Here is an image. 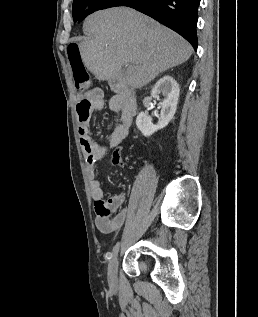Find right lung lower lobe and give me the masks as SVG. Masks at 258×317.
Listing matches in <instances>:
<instances>
[{"mask_svg":"<svg viewBox=\"0 0 258 317\" xmlns=\"http://www.w3.org/2000/svg\"><path fill=\"white\" fill-rule=\"evenodd\" d=\"M200 0H92L77 21L89 14L110 7L134 8L176 31L197 50V18Z\"/></svg>","mask_w":258,"mask_h":317,"instance_id":"1","label":"right lung lower lobe"}]
</instances>
